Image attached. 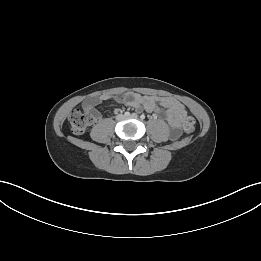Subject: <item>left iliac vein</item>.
Segmentation results:
<instances>
[{
  "instance_id": "1",
  "label": "left iliac vein",
  "mask_w": 261,
  "mask_h": 261,
  "mask_svg": "<svg viewBox=\"0 0 261 261\" xmlns=\"http://www.w3.org/2000/svg\"><path fill=\"white\" fill-rule=\"evenodd\" d=\"M129 117L134 118V119H137V118H138V115H137L136 113H133V114H131Z\"/></svg>"
}]
</instances>
